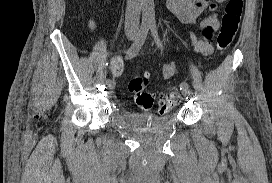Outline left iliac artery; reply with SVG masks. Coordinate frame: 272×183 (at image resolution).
I'll list each match as a JSON object with an SVG mask.
<instances>
[{
	"label": "left iliac artery",
	"mask_w": 272,
	"mask_h": 183,
	"mask_svg": "<svg viewBox=\"0 0 272 183\" xmlns=\"http://www.w3.org/2000/svg\"><path fill=\"white\" fill-rule=\"evenodd\" d=\"M150 29H151V33H152V36L157 44V46L160 48V49H163V45H162V42L159 38V35H158V32L156 30V25L154 23H152L150 25ZM186 89H189V85L186 83V82H182L180 84V90H186Z\"/></svg>",
	"instance_id": "1"
}]
</instances>
